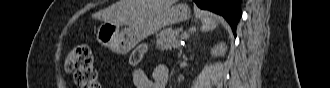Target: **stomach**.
<instances>
[{
  "instance_id": "0dacf381",
  "label": "stomach",
  "mask_w": 330,
  "mask_h": 88,
  "mask_svg": "<svg viewBox=\"0 0 330 88\" xmlns=\"http://www.w3.org/2000/svg\"><path fill=\"white\" fill-rule=\"evenodd\" d=\"M191 11L185 4L170 6L156 15L119 30V25L103 22L97 29V41L117 54L131 51L139 42L162 28L188 20Z\"/></svg>"
}]
</instances>
